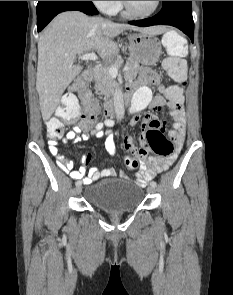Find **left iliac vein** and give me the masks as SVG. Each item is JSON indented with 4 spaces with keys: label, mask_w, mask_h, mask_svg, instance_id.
Masks as SVG:
<instances>
[{
    "label": "left iliac vein",
    "mask_w": 233,
    "mask_h": 295,
    "mask_svg": "<svg viewBox=\"0 0 233 295\" xmlns=\"http://www.w3.org/2000/svg\"><path fill=\"white\" fill-rule=\"evenodd\" d=\"M147 192L149 193V194H153L154 192H155V187L154 186H148L147 187Z\"/></svg>",
    "instance_id": "left-iliac-vein-1"
}]
</instances>
